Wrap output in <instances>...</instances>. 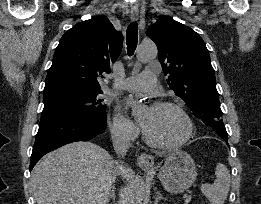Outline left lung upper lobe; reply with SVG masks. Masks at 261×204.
<instances>
[{
    "label": "left lung upper lobe",
    "mask_w": 261,
    "mask_h": 204,
    "mask_svg": "<svg viewBox=\"0 0 261 204\" xmlns=\"http://www.w3.org/2000/svg\"><path fill=\"white\" fill-rule=\"evenodd\" d=\"M158 48V59L167 82L194 116L228 140L221 119L215 72L203 39L190 27L162 17L146 31Z\"/></svg>",
    "instance_id": "1"
}]
</instances>
